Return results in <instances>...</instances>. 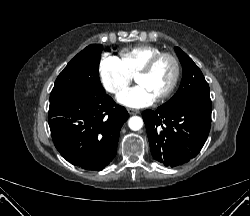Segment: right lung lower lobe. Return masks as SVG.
Instances as JSON below:
<instances>
[{
  "mask_svg": "<svg viewBox=\"0 0 250 216\" xmlns=\"http://www.w3.org/2000/svg\"><path fill=\"white\" fill-rule=\"evenodd\" d=\"M51 136L70 163L100 171L116 156L126 109L106 94L74 93L50 105Z\"/></svg>",
  "mask_w": 250,
  "mask_h": 216,
  "instance_id": "1",
  "label": "right lung lower lobe"
}]
</instances>
